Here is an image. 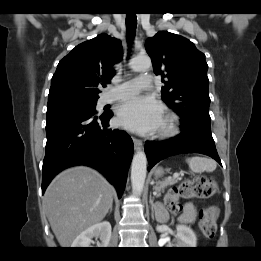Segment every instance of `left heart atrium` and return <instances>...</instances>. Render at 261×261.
<instances>
[{
  "label": "left heart atrium",
  "mask_w": 261,
  "mask_h": 261,
  "mask_svg": "<svg viewBox=\"0 0 261 261\" xmlns=\"http://www.w3.org/2000/svg\"><path fill=\"white\" fill-rule=\"evenodd\" d=\"M117 119L121 126L141 134L154 132L164 123L161 104L150 96H134L122 102Z\"/></svg>",
  "instance_id": "obj_1"
}]
</instances>
